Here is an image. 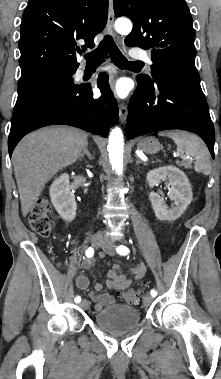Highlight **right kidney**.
Here are the masks:
<instances>
[{"label": "right kidney", "mask_w": 221, "mask_h": 379, "mask_svg": "<svg viewBox=\"0 0 221 379\" xmlns=\"http://www.w3.org/2000/svg\"><path fill=\"white\" fill-rule=\"evenodd\" d=\"M49 193L51 202L62 219L66 222L74 220L77 205L67 173L61 174L53 181Z\"/></svg>", "instance_id": "obj_1"}]
</instances>
